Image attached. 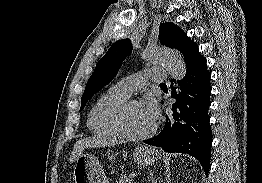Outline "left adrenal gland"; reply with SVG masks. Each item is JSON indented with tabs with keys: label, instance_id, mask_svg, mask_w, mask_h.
<instances>
[{
	"label": "left adrenal gland",
	"instance_id": "1",
	"mask_svg": "<svg viewBox=\"0 0 262 183\" xmlns=\"http://www.w3.org/2000/svg\"><path fill=\"white\" fill-rule=\"evenodd\" d=\"M155 181H156L155 178H153V175H151V182L155 183Z\"/></svg>",
	"mask_w": 262,
	"mask_h": 183
}]
</instances>
